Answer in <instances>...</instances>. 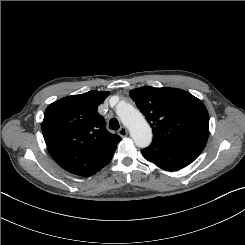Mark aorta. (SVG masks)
Returning <instances> with one entry per match:
<instances>
[{"label": "aorta", "mask_w": 245, "mask_h": 245, "mask_svg": "<svg viewBox=\"0 0 245 245\" xmlns=\"http://www.w3.org/2000/svg\"><path fill=\"white\" fill-rule=\"evenodd\" d=\"M116 113L122 123L129 129L134 143L140 148L149 146L152 140V131L144 116L127 103L118 106Z\"/></svg>", "instance_id": "762f6f07"}]
</instances>
